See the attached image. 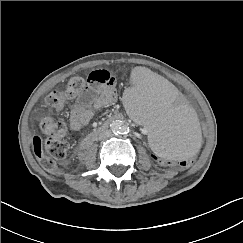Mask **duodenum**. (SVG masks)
I'll return each instance as SVG.
<instances>
[{"mask_svg": "<svg viewBox=\"0 0 243 243\" xmlns=\"http://www.w3.org/2000/svg\"><path fill=\"white\" fill-rule=\"evenodd\" d=\"M123 117L119 114L114 115L107 121H105L101 126L97 127L93 132L88 134L81 142L79 147L80 154L84 155L88 152L91 147L92 142L96 139V137L102 132L108 130L112 123L121 121Z\"/></svg>", "mask_w": 243, "mask_h": 243, "instance_id": "410a0bca", "label": "duodenum"}]
</instances>
